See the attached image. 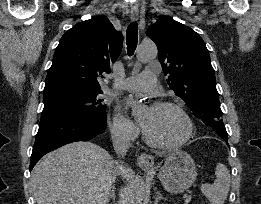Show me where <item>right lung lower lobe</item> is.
Wrapping results in <instances>:
<instances>
[{"instance_id": "right-lung-lower-lobe-1", "label": "right lung lower lobe", "mask_w": 261, "mask_h": 204, "mask_svg": "<svg viewBox=\"0 0 261 204\" xmlns=\"http://www.w3.org/2000/svg\"><path fill=\"white\" fill-rule=\"evenodd\" d=\"M106 126V113L73 111L41 116L29 169L48 152L70 142L88 141L104 133Z\"/></svg>"}]
</instances>
